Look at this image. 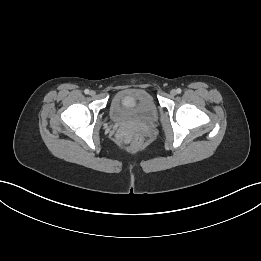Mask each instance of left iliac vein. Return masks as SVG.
I'll return each mask as SVG.
<instances>
[{
	"mask_svg": "<svg viewBox=\"0 0 261 261\" xmlns=\"http://www.w3.org/2000/svg\"><path fill=\"white\" fill-rule=\"evenodd\" d=\"M176 93H177V92H176L175 89H173V90L170 91V94H171L172 96L176 95Z\"/></svg>",
	"mask_w": 261,
	"mask_h": 261,
	"instance_id": "left-iliac-vein-1",
	"label": "left iliac vein"
}]
</instances>
